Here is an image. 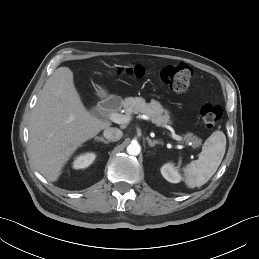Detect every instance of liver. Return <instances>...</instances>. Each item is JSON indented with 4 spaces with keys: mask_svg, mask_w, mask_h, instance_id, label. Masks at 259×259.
<instances>
[{
    "mask_svg": "<svg viewBox=\"0 0 259 259\" xmlns=\"http://www.w3.org/2000/svg\"><path fill=\"white\" fill-rule=\"evenodd\" d=\"M110 126L85 109L73 72L59 67L44 84L30 118V157L36 169L55 182L76 149Z\"/></svg>",
    "mask_w": 259,
    "mask_h": 259,
    "instance_id": "obj_1",
    "label": "liver"
}]
</instances>
